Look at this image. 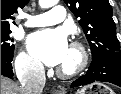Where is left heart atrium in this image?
Segmentation results:
<instances>
[{"label":"left heart atrium","mask_w":121,"mask_h":94,"mask_svg":"<svg viewBox=\"0 0 121 94\" xmlns=\"http://www.w3.org/2000/svg\"><path fill=\"white\" fill-rule=\"evenodd\" d=\"M32 54L48 66H58L65 59L69 46L66 35L60 30H42L29 39Z\"/></svg>","instance_id":"1"}]
</instances>
